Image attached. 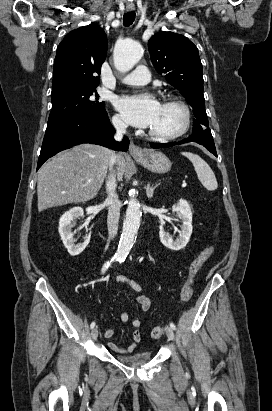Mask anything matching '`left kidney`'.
Listing matches in <instances>:
<instances>
[{
	"label": "left kidney",
	"mask_w": 272,
	"mask_h": 411,
	"mask_svg": "<svg viewBox=\"0 0 272 411\" xmlns=\"http://www.w3.org/2000/svg\"><path fill=\"white\" fill-rule=\"evenodd\" d=\"M172 212L176 213L177 217L182 221L179 237L173 239L169 232L165 231L163 225L159 227V237L161 243L171 250L183 249L192 234V212L189 203L186 200H179L172 207Z\"/></svg>",
	"instance_id": "1"
}]
</instances>
